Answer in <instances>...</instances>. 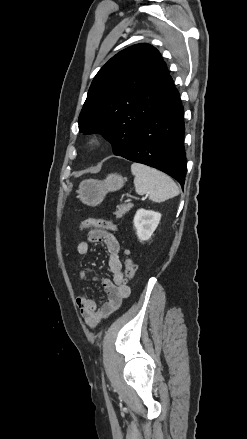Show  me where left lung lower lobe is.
<instances>
[{
  "instance_id": "0a47b994",
  "label": "left lung lower lobe",
  "mask_w": 247,
  "mask_h": 439,
  "mask_svg": "<svg viewBox=\"0 0 247 439\" xmlns=\"http://www.w3.org/2000/svg\"><path fill=\"white\" fill-rule=\"evenodd\" d=\"M184 130L183 106L175 88L140 123L131 146L120 156L157 168L183 186L186 174Z\"/></svg>"
}]
</instances>
